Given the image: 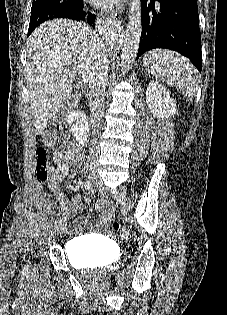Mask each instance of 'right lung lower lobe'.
I'll list each match as a JSON object with an SVG mask.
<instances>
[{"label": "right lung lower lobe", "mask_w": 227, "mask_h": 315, "mask_svg": "<svg viewBox=\"0 0 227 315\" xmlns=\"http://www.w3.org/2000/svg\"><path fill=\"white\" fill-rule=\"evenodd\" d=\"M64 18L73 19V20H84L86 18L87 23L91 26H95L94 20L95 16L92 13H89L88 15L83 10V0H80L75 6L72 8H69V11L67 12V16Z\"/></svg>", "instance_id": "98d812e1"}]
</instances>
